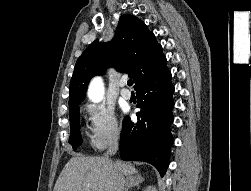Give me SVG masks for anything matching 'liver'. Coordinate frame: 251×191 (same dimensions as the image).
Masks as SVG:
<instances>
[{
	"mask_svg": "<svg viewBox=\"0 0 251 191\" xmlns=\"http://www.w3.org/2000/svg\"><path fill=\"white\" fill-rule=\"evenodd\" d=\"M138 173L129 161H112L105 157H71L64 165L53 191H117V175Z\"/></svg>",
	"mask_w": 251,
	"mask_h": 191,
	"instance_id": "liver-1",
	"label": "liver"
}]
</instances>
